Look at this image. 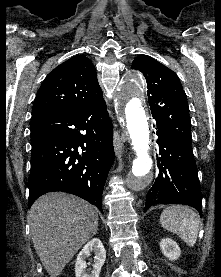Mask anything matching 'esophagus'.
<instances>
[{
    "label": "esophagus",
    "instance_id": "esophagus-1",
    "mask_svg": "<svg viewBox=\"0 0 221 277\" xmlns=\"http://www.w3.org/2000/svg\"><path fill=\"white\" fill-rule=\"evenodd\" d=\"M126 138L121 136L118 131H114V148L117 156L121 153L124 148Z\"/></svg>",
    "mask_w": 221,
    "mask_h": 277
}]
</instances>
